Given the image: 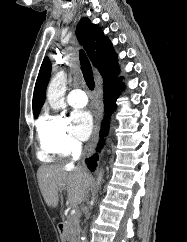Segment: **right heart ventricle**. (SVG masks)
Returning <instances> with one entry per match:
<instances>
[{"label":"right heart ventricle","instance_id":"e07e8e85","mask_svg":"<svg viewBox=\"0 0 187 242\" xmlns=\"http://www.w3.org/2000/svg\"><path fill=\"white\" fill-rule=\"evenodd\" d=\"M53 156H54V153L52 152V150L42 141L40 137V147L38 151V158L43 162H50L53 160Z\"/></svg>","mask_w":187,"mask_h":242}]
</instances>
